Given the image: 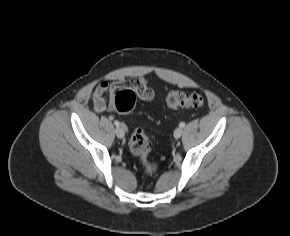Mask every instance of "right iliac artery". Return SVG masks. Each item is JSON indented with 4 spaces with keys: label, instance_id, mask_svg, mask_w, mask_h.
I'll return each instance as SVG.
<instances>
[{
    "label": "right iliac artery",
    "instance_id": "obj_1",
    "mask_svg": "<svg viewBox=\"0 0 290 236\" xmlns=\"http://www.w3.org/2000/svg\"><path fill=\"white\" fill-rule=\"evenodd\" d=\"M114 124H115V126H119L120 125V123H119V121H114Z\"/></svg>",
    "mask_w": 290,
    "mask_h": 236
}]
</instances>
